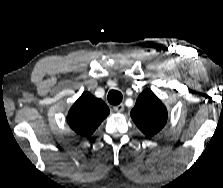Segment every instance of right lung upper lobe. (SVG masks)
<instances>
[{"mask_svg":"<svg viewBox=\"0 0 223 188\" xmlns=\"http://www.w3.org/2000/svg\"><path fill=\"white\" fill-rule=\"evenodd\" d=\"M109 115V108L101 99L84 92L69 110L67 122L81 136H90Z\"/></svg>","mask_w":223,"mask_h":188,"instance_id":"obj_1","label":"right lung upper lobe"}]
</instances>
